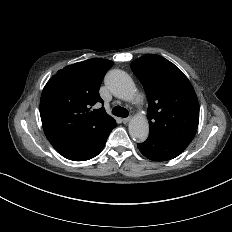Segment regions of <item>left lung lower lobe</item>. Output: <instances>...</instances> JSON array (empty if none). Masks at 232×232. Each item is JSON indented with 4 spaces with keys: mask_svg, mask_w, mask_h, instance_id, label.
I'll return each instance as SVG.
<instances>
[{
    "mask_svg": "<svg viewBox=\"0 0 232 232\" xmlns=\"http://www.w3.org/2000/svg\"><path fill=\"white\" fill-rule=\"evenodd\" d=\"M137 146L140 152L152 161L170 160L185 150L179 145L150 134L145 142L139 143Z\"/></svg>",
    "mask_w": 232,
    "mask_h": 232,
    "instance_id": "0a47b994",
    "label": "left lung lower lobe"
}]
</instances>
